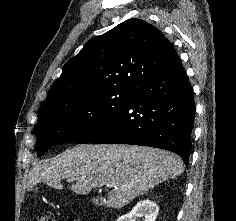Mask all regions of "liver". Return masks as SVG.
<instances>
[{
	"label": "liver",
	"instance_id": "obj_1",
	"mask_svg": "<svg viewBox=\"0 0 236 221\" xmlns=\"http://www.w3.org/2000/svg\"><path fill=\"white\" fill-rule=\"evenodd\" d=\"M184 171L181 159L166 150L119 144H83L35 165L29 172L28 188L45 183L61 189L62 179L75 182L71 190L85 195L112 184L106 205L124 207L134 198Z\"/></svg>",
	"mask_w": 236,
	"mask_h": 221
}]
</instances>
